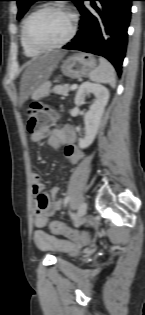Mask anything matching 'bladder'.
Wrapping results in <instances>:
<instances>
[{"label": "bladder", "instance_id": "31cf9c89", "mask_svg": "<svg viewBox=\"0 0 145 315\" xmlns=\"http://www.w3.org/2000/svg\"><path fill=\"white\" fill-rule=\"evenodd\" d=\"M76 253H77V251H76V250H73V251L70 252L69 255H75Z\"/></svg>", "mask_w": 145, "mask_h": 315}]
</instances>
